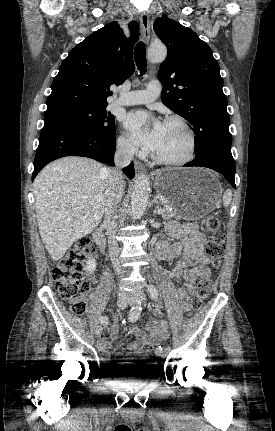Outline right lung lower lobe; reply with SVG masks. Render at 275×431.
Here are the masks:
<instances>
[{
	"instance_id": "right-lung-lower-lobe-1",
	"label": "right lung lower lobe",
	"mask_w": 275,
	"mask_h": 431,
	"mask_svg": "<svg viewBox=\"0 0 275 431\" xmlns=\"http://www.w3.org/2000/svg\"><path fill=\"white\" fill-rule=\"evenodd\" d=\"M116 149L115 132L106 134L69 125L44 126L34 160L32 181L39 171L51 161L64 156H83L113 165ZM132 179L134 164L123 169Z\"/></svg>"
}]
</instances>
